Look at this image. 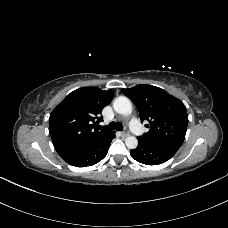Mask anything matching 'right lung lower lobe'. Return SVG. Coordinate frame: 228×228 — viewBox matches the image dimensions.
<instances>
[{"instance_id": "obj_1", "label": "right lung lower lobe", "mask_w": 228, "mask_h": 228, "mask_svg": "<svg viewBox=\"0 0 228 228\" xmlns=\"http://www.w3.org/2000/svg\"><path fill=\"white\" fill-rule=\"evenodd\" d=\"M114 137L115 132H110L96 142L81 147L69 148L58 152V154L70 165L76 167L91 166L106 156Z\"/></svg>"}]
</instances>
